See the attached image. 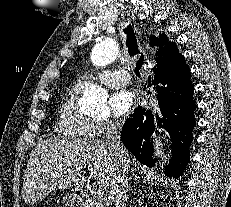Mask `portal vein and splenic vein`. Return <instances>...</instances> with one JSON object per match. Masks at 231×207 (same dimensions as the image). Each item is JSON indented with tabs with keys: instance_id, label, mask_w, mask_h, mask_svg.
<instances>
[{
	"instance_id": "18ae733b",
	"label": "portal vein and splenic vein",
	"mask_w": 231,
	"mask_h": 207,
	"mask_svg": "<svg viewBox=\"0 0 231 207\" xmlns=\"http://www.w3.org/2000/svg\"><path fill=\"white\" fill-rule=\"evenodd\" d=\"M94 193H95L96 198L98 200H103L104 199V192L102 190H98L97 192L95 191Z\"/></svg>"
}]
</instances>
